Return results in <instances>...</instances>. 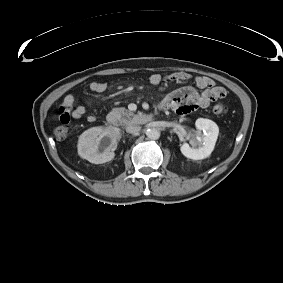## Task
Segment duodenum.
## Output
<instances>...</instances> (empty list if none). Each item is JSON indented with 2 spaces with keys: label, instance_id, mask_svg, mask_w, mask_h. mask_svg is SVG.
<instances>
[{
  "label": "duodenum",
  "instance_id": "duodenum-1",
  "mask_svg": "<svg viewBox=\"0 0 283 283\" xmlns=\"http://www.w3.org/2000/svg\"><path fill=\"white\" fill-rule=\"evenodd\" d=\"M107 123H108L109 126L115 127L116 124H117V119L112 115H108L107 116Z\"/></svg>",
  "mask_w": 283,
  "mask_h": 283
}]
</instances>
